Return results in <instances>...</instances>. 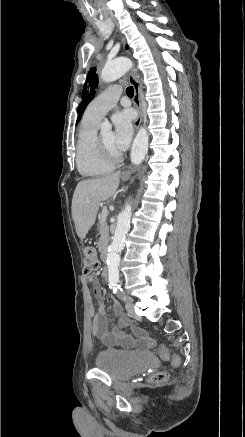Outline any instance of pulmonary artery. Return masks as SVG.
<instances>
[{
	"label": "pulmonary artery",
	"instance_id": "obj_1",
	"mask_svg": "<svg viewBox=\"0 0 245 437\" xmlns=\"http://www.w3.org/2000/svg\"><path fill=\"white\" fill-rule=\"evenodd\" d=\"M122 89L119 85H112L98 95L86 108L84 115L90 119L100 121L102 117L117 103Z\"/></svg>",
	"mask_w": 245,
	"mask_h": 437
}]
</instances>
